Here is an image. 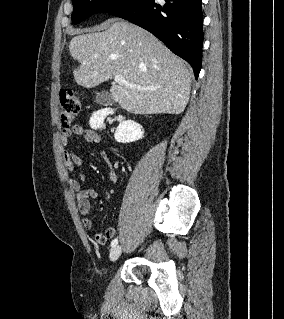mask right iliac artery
Segmentation results:
<instances>
[{"instance_id": "82829eb1", "label": "right iliac artery", "mask_w": 284, "mask_h": 319, "mask_svg": "<svg viewBox=\"0 0 284 319\" xmlns=\"http://www.w3.org/2000/svg\"><path fill=\"white\" fill-rule=\"evenodd\" d=\"M117 244H118V239L115 238V239L112 240V242H111V247L113 248V247H115Z\"/></svg>"}]
</instances>
